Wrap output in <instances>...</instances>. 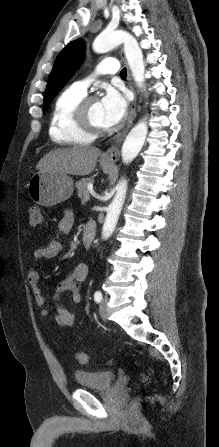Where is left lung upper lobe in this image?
<instances>
[{
  "instance_id": "left-lung-upper-lobe-1",
  "label": "left lung upper lobe",
  "mask_w": 219,
  "mask_h": 447,
  "mask_svg": "<svg viewBox=\"0 0 219 447\" xmlns=\"http://www.w3.org/2000/svg\"><path fill=\"white\" fill-rule=\"evenodd\" d=\"M84 42L81 39L70 42L57 56L49 75L44 94L43 112L45 113L67 80L73 75L82 59Z\"/></svg>"
}]
</instances>
